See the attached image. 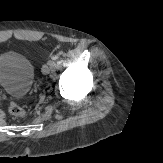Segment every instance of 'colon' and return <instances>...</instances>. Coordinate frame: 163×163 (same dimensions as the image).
Segmentation results:
<instances>
[{"label":"colon","mask_w":163,"mask_h":163,"mask_svg":"<svg viewBox=\"0 0 163 163\" xmlns=\"http://www.w3.org/2000/svg\"><path fill=\"white\" fill-rule=\"evenodd\" d=\"M8 110L9 113L15 117H24L26 114L25 109L16 103H11Z\"/></svg>","instance_id":"colon-1"}]
</instances>
